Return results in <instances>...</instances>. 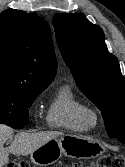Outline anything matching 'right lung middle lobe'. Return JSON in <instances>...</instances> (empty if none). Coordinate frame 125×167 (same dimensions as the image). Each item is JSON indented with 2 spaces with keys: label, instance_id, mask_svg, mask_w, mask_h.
Returning a JSON list of instances; mask_svg holds the SVG:
<instances>
[{
  "label": "right lung middle lobe",
  "instance_id": "1",
  "mask_svg": "<svg viewBox=\"0 0 125 167\" xmlns=\"http://www.w3.org/2000/svg\"><path fill=\"white\" fill-rule=\"evenodd\" d=\"M43 90L21 92L0 88V123L23 128L28 124V108Z\"/></svg>",
  "mask_w": 125,
  "mask_h": 167
}]
</instances>
